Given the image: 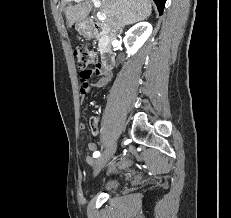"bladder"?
Wrapping results in <instances>:
<instances>
[{
	"instance_id": "1",
	"label": "bladder",
	"mask_w": 231,
	"mask_h": 218,
	"mask_svg": "<svg viewBox=\"0 0 231 218\" xmlns=\"http://www.w3.org/2000/svg\"><path fill=\"white\" fill-rule=\"evenodd\" d=\"M119 186V181L116 179H109L103 183L102 188L106 191L115 190Z\"/></svg>"
}]
</instances>
